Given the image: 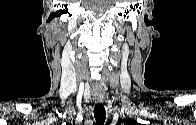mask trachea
I'll list each match as a JSON object with an SVG mask.
<instances>
[{"instance_id":"obj_1","label":"trachea","mask_w":196,"mask_h":125,"mask_svg":"<svg viewBox=\"0 0 196 125\" xmlns=\"http://www.w3.org/2000/svg\"><path fill=\"white\" fill-rule=\"evenodd\" d=\"M94 117L98 125H102L106 120V111L102 104H97L94 107Z\"/></svg>"}]
</instances>
